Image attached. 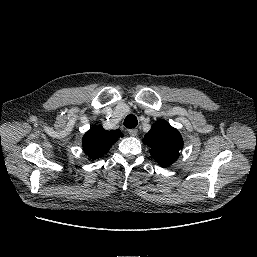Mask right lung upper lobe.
I'll return each mask as SVG.
<instances>
[{
    "label": "right lung upper lobe",
    "mask_w": 257,
    "mask_h": 257,
    "mask_svg": "<svg viewBox=\"0 0 257 257\" xmlns=\"http://www.w3.org/2000/svg\"><path fill=\"white\" fill-rule=\"evenodd\" d=\"M122 136L119 130L107 131L101 125H94L83 137L84 152L93 160L103 157Z\"/></svg>",
    "instance_id": "cb5924a9"
}]
</instances>
